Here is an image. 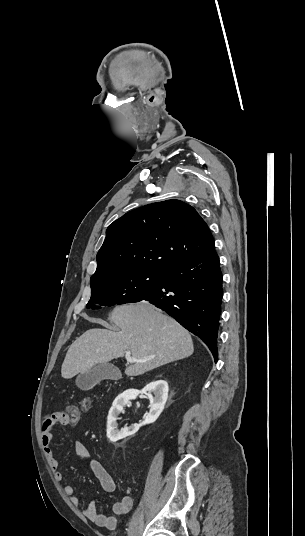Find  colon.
I'll return each instance as SVG.
<instances>
[{"label": "colon", "instance_id": "obj_1", "mask_svg": "<svg viewBox=\"0 0 305 536\" xmlns=\"http://www.w3.org/2000/svg\"><path fill=\"white\" fill-rule=\"evenodd\" d=\"M91 406L89 397L80 400L77 404H70L65 407V415L68 417V423L74 425L79 420L82 412L88 410Z\"/></svg>", "mask_w": 305, "mask_h": 536}]
</instances>
